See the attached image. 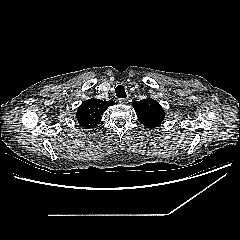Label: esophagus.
<instances>
[{
    "label": "esophagus",
    "mask_w": 240,
    "mask_h": 240,
    "mask_svg": "<svg viewBox=\"0 0 240 240\" xmlns=\"http://www.w3.org/2000/svg\"><path fill=\"white\" fill-rule=\"evenodd\" d=\"M127 99L126 98H119L118 99V102L120 103V104H126L127 103Z\"/></svg>",
    "instance_id": "1"
}]
</instances>
